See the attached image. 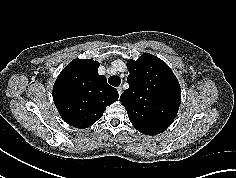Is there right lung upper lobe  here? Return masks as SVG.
<instances>
[{
    "instance_id": "obj_1",
    "label": "right lung upper lobe",
    "mask_w": 236,
    "mask_h": 178,
    "mask_svg": "<svg viewBox=\"0 0 236 178\" xmlns=\"http://www.w3.org/2000/svg\"><path fill=\"white\" fill-rule=\"evenodd\" d=\"M99 62L75 59L59 74L53 100L63 120L76 128H87L99 120L106 107L117 101L118 91L97 72Z\"/></svg>"
}]
</instances>
